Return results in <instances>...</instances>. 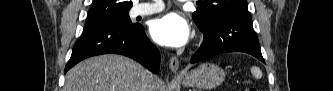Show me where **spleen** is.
<instances>
[{
  "label": "spleen",
  "instance_id": "spleen-1",
  "mask_svg": "<svg viewBox=\"0 0 333 91\" xmlns=\"http://www.w3.org/2000/svg\"><path fill=\"white\" fill-rule=\"evenodd\" d=\"M251 73L256 79H260L262 77L261 70L256 66H252Z\"/></svg>",
  "mask_w": 333,
  "mask_h": 91
}]
</instances>
